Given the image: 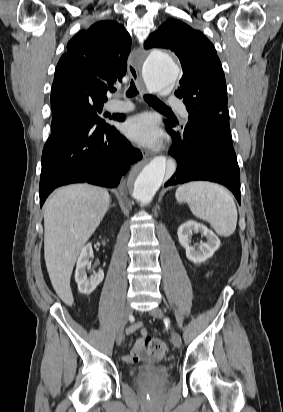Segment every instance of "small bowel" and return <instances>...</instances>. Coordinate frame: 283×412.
Returning a JSON list of instances; mask_svg holds the SVG:
<instances>
[{
	"instance_id": "small-bowel-1",
	"label": "small bowel",
	"mask_w": 283,
	"mask_h": 412,
	"mask_svg": "<svg viewBox=\"0 0 283 412\" xmlns=\"http://www.w3.org/2000/svg\"><path fill=\"white\" fill-rule=\"evenodd\" d=\"M137 330H140L142 337L136 341L130 353L124 357V361L126 363L139 362L147 357L146 352H145V346H144V337L147 335V330L142 328V323L141 322L133 323L131 326L128 327L127 333L131 334Z\"/></svg>"
}]
</instances>
